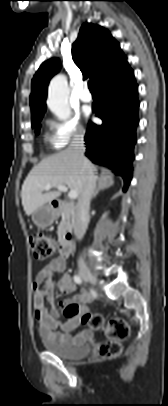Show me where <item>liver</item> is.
Masks as SVG:
<instances>
[{"instance_id": "obj_1", "label": "liver", "mask_w": 168, "mask_h": 406, "mask_svg": "<svg viewBox=\"0 0 168 406\" xmlns=\"http://www.w3.org/2000/svg\"><path fill=\"white\" fill-rule=\"evenodd\" d=\"M84 165L95 170V166L87 158L79 161L68 149L51 155L35 165L22 185L21 199L26 215L30 216L35 210L60 195L59 189L43 193L48 184L53 185L52 187L59 184L67 185L70 190H75L80 195L83 190ZM103 177L112 180L111 176Z\"/></svg>"}]
</instances>
